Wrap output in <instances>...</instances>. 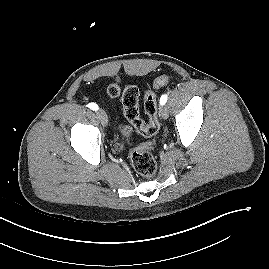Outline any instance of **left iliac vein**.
I'll return each instance as SVG.
<instances>
[{"mask_svg": "<svg viewBox=\"0 0 269 269\" xmlns=\"http://www.w3.org/2000/svg\"><path fill=\"white\" fill-rule=\"evenodd\" d=\"M159 115L162 119H167L168 118V110L166 106L161 105L159 108Z\"/></svg>", "mask_w": 269, "mask_h": 269, "instance_id": "4c4485c4", "label": "left iliac vein"}]
</instances>
